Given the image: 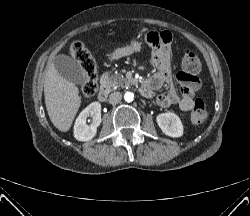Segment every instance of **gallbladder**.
<instances>
[{
  "label": "gallbladder",
  "instance_id": "gallbladder-1",
  "mask_svg": "<svg viewBox=\"0 0 250 216\" xmlns=\"http://www.w3.org/2000/svg\"><path fill=\"white\" fill-rule=\"evenodd\" d=\"M54 66L63 78L74 84H82L86 80L83 68L67 55L56 56Z\"/></svg>",
  "mask_w": 250,
  "mask_h": 216
}]
</instances>
